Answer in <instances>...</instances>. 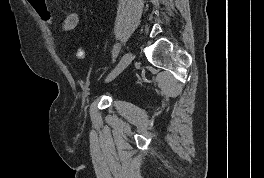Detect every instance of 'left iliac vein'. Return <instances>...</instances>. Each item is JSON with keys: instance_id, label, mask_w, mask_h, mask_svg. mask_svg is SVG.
I'll list each match as a JSON object with an SVG mask.
<instances>
[{"instance_id": "left-iliac-vein-1", "label": "left iliac vein", "mask_w": 264, "mask_h": 178, "mask_svg": "<svg viewBox=\"0 0 264 178\" xmlns=\"http://www.w3.org/2000/svg\"><path fill=\"white\" fill-rule=\"evenodd\" d=\"M133 60V54L129 51L123 55L117 66L108 74L106 82L116 78Z\"/></svg>"}]
</instances>
